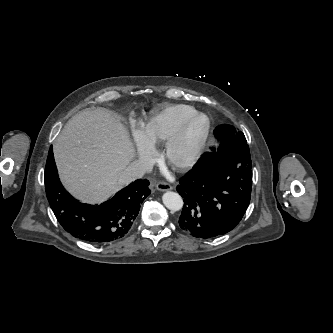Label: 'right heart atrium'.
I'll return each mask as SVG.
<instances>
[{"instance_id": "d8ad5b80", "label": "right heart atrium", "mask_w": 333, "mask_h": 333, "mask_svg": "<svg viewBox=\"0 0 333 333\" xmlns=\"http://www.w3.org/2000/svg\"><path fill=\"white\" fill-rule=\"evenodd\" d=\"M133 135L137 144L139 158L146 163L152 161L155 156L152 146L144 140L141 131L136 127L133 128Z\"/></svg>"}]
</instances>
